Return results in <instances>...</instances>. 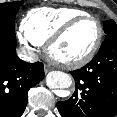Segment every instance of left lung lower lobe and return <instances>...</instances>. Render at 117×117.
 I'll use <instances>...</instances> for the list:
<instances>
[{"mask_svg":"<svg viewBox=\"0 0 117 117\" xmlns=\"http://www.w3.org/2000/svg\"><path fill=\"white\" fill-rule=\"evenodd\" d=\"M76 90L58 102L62 117H114L117 114V31L107 36L97 55L71 72Z\"/></svg>","mask_w":117,"mask_h":117,"instance_id":"0a47b994","label":"left lung lower lobe"}]
</instances>
